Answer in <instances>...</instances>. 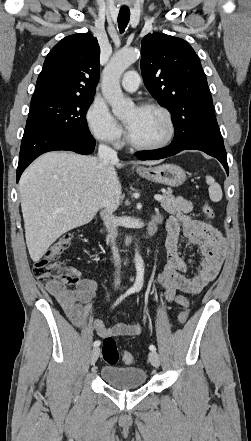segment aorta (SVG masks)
Instances as JSON below:
<instances>
[{
  "label": "aorta",
  "mask_w": 251,
  "mask_h": 441,
  "mask_svg": "<svg viewBox=\"0 0 251 441\" xmlns=\"http://www.w3.org/2000/svg\"><path fill=\"white\" fill-rule=\"evenodd\" d=\"M138 58V50L122 49L112 56L103 71L102 93L116 117H123L134 108V103L123 96L120 78L124 71ZM135 268L134 288L140 290L144 282V262L137 250L135 252Z\"/></svg>",
  "instance_id": "obj_1"
}]
</instances>
